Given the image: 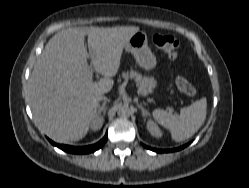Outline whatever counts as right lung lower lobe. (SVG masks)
Here are the masks:
<instances>
[{"mask_svg": "<svg viewBox=\"0 0 249 188\" xmlns=\"http://www.w3.org/2000/svg\"><path fill=\"white\" fill-rule=\"evenodd\" d=\"M107 139H108V134L106 133L104 138L102 140H100L98 143L93 144V145H89V146H83V147L59 145V144L54 143L53 141H50V142L65 152L75 153V154H86V153L94 152V151L98 150L99 148H101L105 144Z\"/></svg>", "mask_w": 249, "mask_h": 188, "instance_id": "right-lung-lower-lobe-1", "label": "right lung lower lobe"}]
</instances>
